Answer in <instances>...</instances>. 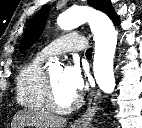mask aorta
Masks as SVG:
<instances>
[{"label": "aorta", "instance_id": "1", "mask_svg": "<svg viewBox=\"0 0 142 128\" xmlns=\"http://www.w3.org/2000/svg\"><path fill=\"white\" fill-rule=\"evenodd\" d=\"M89 23L95 40L93 72L99 88L107 94L115 89L113 60L117 45V32L112 21L102 13L86 7H74L61 13L57 24L71 30ZM54 64H50L52 67Z\"/></svg>", "mask_w": 142, "mask_h": 128}]
</instances>
